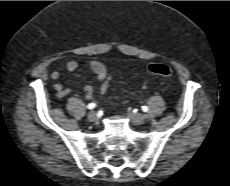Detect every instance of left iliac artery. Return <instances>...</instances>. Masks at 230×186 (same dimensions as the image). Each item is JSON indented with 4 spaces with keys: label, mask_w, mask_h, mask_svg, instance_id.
Returning a JSON list of instances; mask_svg holds the SVG:
<instances>
[{
    "label": "left iliac artery",
    "mask_w": 230,
    "mask_h": 186,
    "mask_svg": "<svg viewBox=\"0 0 230 186\" xmlns=\"http://www.w3.org/2000/svg\"><path fill=\"white\" fill-rule=\"evenodd\" d=\"M142 110H143L144 112H147V111H148V107H147V106H142Z\"/></svg>",
    "instance_id": "1"
}]
</instances>
